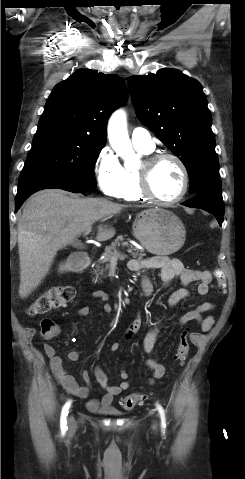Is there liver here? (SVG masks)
I'll use <instances>...</instances> for the list:
<instances>
[{
  "label": "liver",
  "mask_w": 245,
  "mask_h": 479,
  "mask_svg": "<svg viewBox=\"0 0 245 479\" xmlns=\"http://www.w3.org/2000/svg\"><path fill=\"white\" fill-rule=\"evenodd\" d=\"M124 207L107 199L80 198L57 189L31 196L18 219L19 296L26 298L39 286L58 250L91 231L96 221L117 214ZM114 235V228L99 227L96 239L106 241Z\"/></svg>",
  "instance_id": "liver-1"
}]
</instances>
